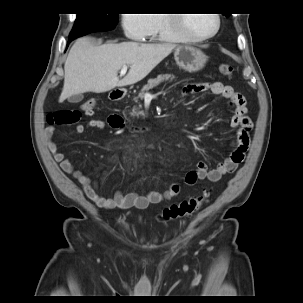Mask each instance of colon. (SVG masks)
<instances>
[{
    "label": "colon",
    "mask_w": 303,
    "mask_h": 303,
    "mask_svg": "<svg viewBox=\"0 0 303 303\" xmlns=\"http://www.w3.org/2000/svg\"><path fill=\"white\" fill-rule=\"evenodd\" d=\"M219 72L223 76H230L233 73V67L229 64H221ZM97 106V101L91 99L82 105V110L86 114H91ZM82 113L75 109H59L48 113L47 123L49 125H72L81 120ZM209 196V192H205L201 196L191 197L179 203H174L165 208L159 216L162 221H168L178 218L190 217L198 212Z\"/></svg>",
    "instance_id": "obj_1"
}]
</instances>
